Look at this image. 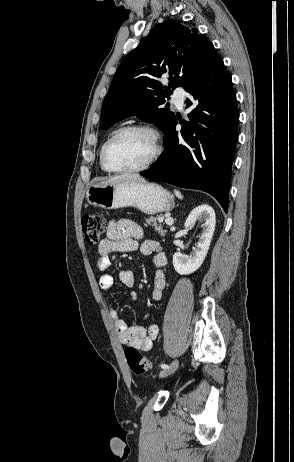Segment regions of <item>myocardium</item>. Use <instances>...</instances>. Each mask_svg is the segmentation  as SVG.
<instances>
[{
    "mask_svg": "<svg viewBox=\"0 0 294 462\" xmlns=\"http://www.w3.org/2000/svg\"><path fill=\"white\" fill-rule=\"evenodd\" d=\"M127 131H141V132H145L146 134H148L152 139L154 150L151 156L142 165L133 167V168L116 169V168L111 167L108 164V161H107L108 149L111 146V144L121 134ZM161 153H162L161 139H160L158 132L154 128L148 125H144V124H128L114 131L113 134L103 144V147L101 150V164H102L103 169L107 172L121 173V174L137 173V172H141V171H144L150 168L158 160Z\"/></svg>",
    "mask_w": 294,
    "mask_h": 462,
    "instance_id": "myocardium-1",
    "label": "myocardium"
}]
</instances>
